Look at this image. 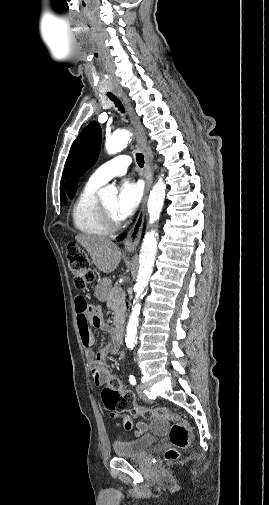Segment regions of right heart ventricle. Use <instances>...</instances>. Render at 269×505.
I'll use <instances>...</instances> for the list:
<instances>
[{"instance_id": "e07e8e85", "label": "right heart ventricle", "mask_w": 269, "mask_h": 505, "mask_svg": "<svg viewBox=\"0 0 269 505\" xmlns=\"http://www.w3.org/2000/svg\"><path fill=\"white\" fill-rule=\"evenodd\" d=\"M101 185L88 181L78 194L72 208L75 228L82 234L103 237L109 233L99 207L98 190Z\"/></svg>"}]
</instances>
